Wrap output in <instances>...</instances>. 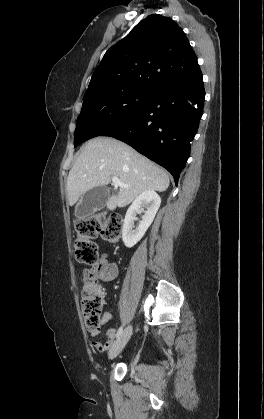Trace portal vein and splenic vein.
<instances>
[{
    "mask_svg": "<svg viewBox=\"0 0 264 419\" xmlns=\"http://www.w3.org/2000/svg\"><path fill=\"white\" fill-rule=\"evenodd\" d=\"M112 182H113V184H114L115 187L128 188V185H126L123 182H121L118 177H112Z\"/></svg>",
    "mask_w": 264,
    "mask_h": 419,
    "instance_id": "1",
    "label": "portal vein and splenic vein"
}]
</instances>
